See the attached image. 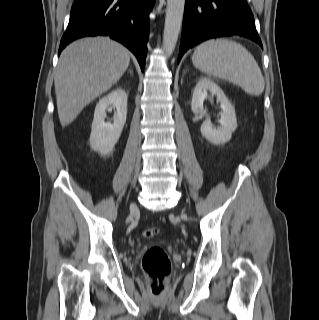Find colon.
I'll list each match as a JSON object with an SVG mask.
<instances>
[{"label":"colon","instance_id":"5ec220e1","mask_svg":"<svg viewBox=\"0 0 319 320\" xmlns=\"http://www.w3.org/2000/svg\"><path fill=\"white\" fill-rule=\"evenodd\" d=\"M158 233V229L148 228L143 231V236L153 238ZM142 268L148 279L151 294L155 297L162 296L171 274V262L165 250L159 246L150 247L143 256Z\"/></svg>","mask_w":319,"mask_h":320}]
</instances>
